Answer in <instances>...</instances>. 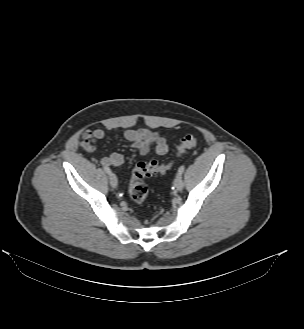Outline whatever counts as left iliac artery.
Wrapping results in <instances>:
<instances>
[{
  "label": "left iliac artery",
  "instance_id": "obj_1",
  "mask_svg": "<svg viewBox=\"0 0 304 329\" xmlns=\"http://www.w3.org/2000/svg\"><path fill=\"white\" fill-rule=\"evenodd\" d=\"M184 170H185V166L182 165V166L179 167L178 173L182 174L184 172Z\"/></svg>",
  "mask_w": 304,
  "mask_h": 329
}]
</instances>
